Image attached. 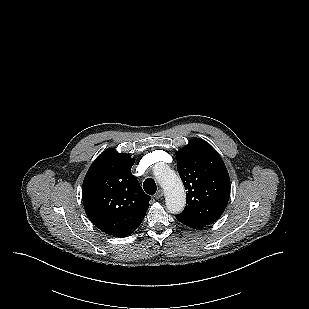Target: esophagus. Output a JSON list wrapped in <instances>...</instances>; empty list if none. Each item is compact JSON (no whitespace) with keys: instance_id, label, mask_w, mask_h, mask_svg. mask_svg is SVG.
I'll return each instance as SVG.
<instances>
[{"instance_id":"obj_1","label":"esophagus","mask_w":309,"mask_h":309,"mask_svg":"<svg viewBox=\"0 0 309 309\" xmlns=\"http://www.w3.org/2000/svg\"><path fill=\"white\" fill-rule=\"evenodd\" d=\"M164 192L162 189H159L157 193L154 195L155 199H160L163 196Z\"/></svg>"}]
</instances>
